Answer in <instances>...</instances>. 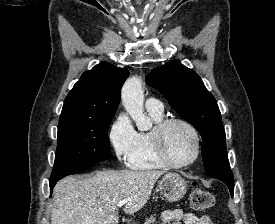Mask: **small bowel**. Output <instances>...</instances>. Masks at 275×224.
<instances>
[{"label":"small bowel","mask_w":275,"mask_h":224,"mask_svg":"<svg viewBox=\"0 0 275 224\" xmlns=\"http://www.w3.org/2000/svg\"><path fill=\"white\" fill-rule=\"evenodd\" d=\"M161 224H213L206 216H196L193 213H186L181 210H166L161 216Z\"/></svg>","instance_id":"1"}]
</instances>
